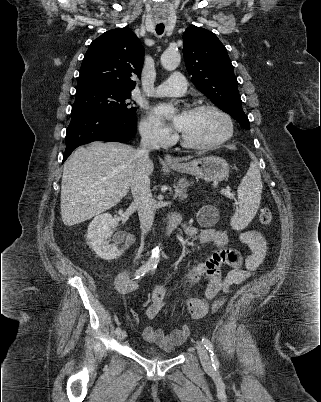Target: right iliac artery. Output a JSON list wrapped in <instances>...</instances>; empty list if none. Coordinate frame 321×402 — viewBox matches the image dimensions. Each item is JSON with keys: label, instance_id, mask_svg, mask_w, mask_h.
Masks as SVG:
<instances>
[{"label": "right iliac artery", "instance_id": "82829eb1", "mask_svg": "<svg viewBox=\"0 0 321 402\" xmlns=\"http://www.w3.org/2000/svg\"><path fill=\"white\" fill-rule=\"evenodd\" d=\"M150 269H152V266L151 265H149V264H145V265H143L142 267H140L137 271H136V273H135V279H138V278H140L141 276H144V274L145 273H147ZM121 332V329L118 327V328H116V330H115V333L116 334H119Z\"/></svg>", "mask_w": 321, "mask_h": 402}]
</instances>
